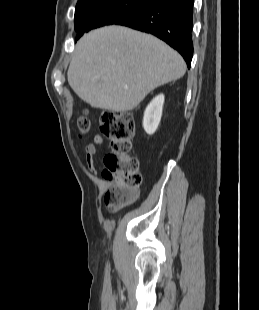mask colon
I'll use <instances>...</instances> for the list:
<instances>
[{"label":"colon","mask_w":259,"mask_h":310,"mask_svg":"<svg viewBox=\"0 0 259 310\" xmlns=\"http://www.w3.org/2000/svg\"><path fill=\"white\" fill-rule=\"evenodd\" d=\"M78 128L82 134L90 131L91 121L86 115L79 117ZM100 129L111 148V152L104 157L103 176L116 182L104 198L106 211L113 213L133 199L136 188L142 182L139 161L131 154L135 122L131 115L108 112L101 117Z\"/></svg>","instance_id":"5ec220e1"}]
</instances>
